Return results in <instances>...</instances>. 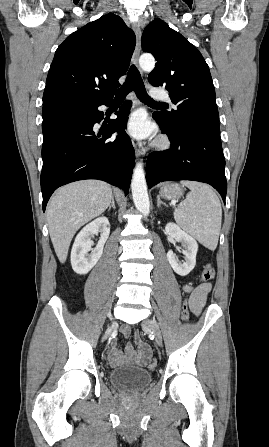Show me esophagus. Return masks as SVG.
Masks as SVG:
<instances>
[{
	"label": "esophagus",
	"mask_w": 269,
	"mask_h": 447,
	"mask_svg": "<svg viewBox=\"0 0 269 447\" xmlns=\"http://www.w3.org/2000/svg\"><path fill=\"white\" fill-rule=\"evenodd\" d=\"M132 30L135 33L136 36V46H135V50H134V54H133V61L134 64L137 65L138 63V58L140 55V51H141V28H140V24L138 22H134L132 24ZM134 149H135V154L137 157H144L145 155V150H142L141 148H139L134 142Z\"/></svg>",
	"instance_id": "obj_1"
}]
</instances>
